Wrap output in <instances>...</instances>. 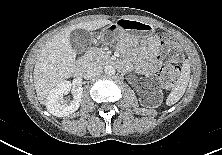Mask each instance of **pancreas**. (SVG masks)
<instances>
[{
    "mask_svg": "<svg viewBox=\"0 0 222 155\" xmlns=\"http://www.w3.org/2000/svg\"><path fill=\"white\" fill-rule=\"evenodd\" d=\"M92 52L95 61L98 63L104 64L109 63L111 61L110 56L102 49L94 48Z\"/></svg>",
    "mask_w": 222,
    "mask_h": 155,
    "instance_id": "1",
    "label": "pancreas"
}]
</instances>
